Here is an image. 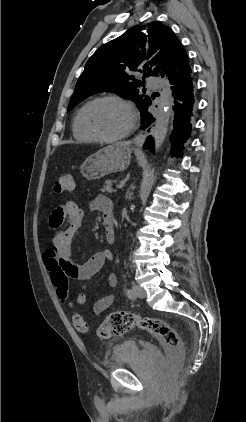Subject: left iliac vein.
<instances>
[{
    "mask_svg": "<svg viewBox=\"0 0 246 422\" xmlns=\"http://www.w3.org/2000/svg\"><path fill=\"white\" fill-rule=\"evenodd\" d=\"M133 290L138 298L146 297V291L141 286L135 285Z\"/></svg>",
    "mask_w": 246,
    "mask_h": 422,
    "instance_id": "obj_1",
    "label": "left iliac vein"
}]
</instances>
